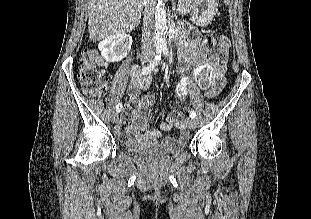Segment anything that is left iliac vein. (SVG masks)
<instances>
[{
  "label": "left iliac vein",
  "instance_id": "4c4485c4",
  "mask_svg": "<svg viewBox=\"0 0 311 219\" xmlns=\"http://www.w3.org/2000/svg\"><path fill=\"white\" fill-rule=\"evenodd\" d=\"M188 126L191 130H194L197 126L196 120L195 119H190L188 122Z\"/></svg>",
  "mask_w": 311,
  "mask_h": 219
}]
</instances>
